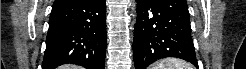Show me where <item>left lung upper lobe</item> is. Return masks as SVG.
Segmentation results:
<instances>
[{
  "label": "left lung upper lobe",
  "instance_id": "1",
  "mask_svg": "<svg viewBox=\"0 0 246 69\" xmlns=\"http://www.w3.org/2000/svg\"><path fill=\"white\" fill-rule=\"evenodd\" d=\"M155 2L181 19L190 21L186 0H155Z\"/></svg>",
  "mask_w": 246,
  "mask_h": 69
}]
</instances>
